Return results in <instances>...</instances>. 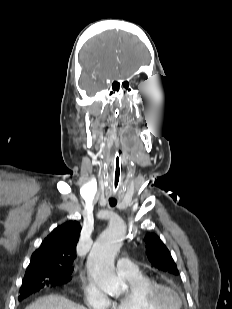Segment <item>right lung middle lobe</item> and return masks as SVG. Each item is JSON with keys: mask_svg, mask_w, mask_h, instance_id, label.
Here are the masks:
<instances>
[{"mask_svg": "<svg viewBox=\"0 0 232 309\" xmlns=\"http://www.w3.org/2000/svg\"><path fill=\"white\" fill-rule=\"evenodd\" d=\"M70 281L69 275L54 273V272H36L24 276L20 289L19 300H22L24 291L32 290L39 291L47 286L61 285Z\"/></svg>", "mask_w": 232, "mask_h": 309, "instance_id": "right-lung-middle-lobe-1", "label": "right lung middle lobe"}]
</instances>
